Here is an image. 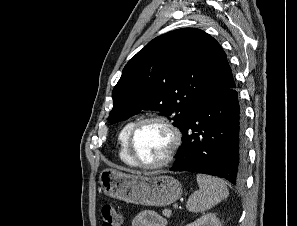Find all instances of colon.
<instances>
[{"label": "colon", "instance_id": "obj_1", "mask_svg": "<svg viewBox=\"0 0 297 226\" xmlns=\"http://www.w3.org/2000/svg\"><path fill=\"white\" fill-rule=\"evenodd\" d=\"M102 226H121V219L115 207L106 203L101 209Z\"/></svg>", "mask_w": 297, "mask_h": 226}]
</instances>
